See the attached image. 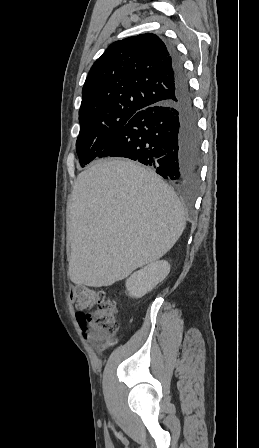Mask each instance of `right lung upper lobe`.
Returning <instances> with one entry per match:
<instances>
[{
	"instance_id": "cb5924a9",
	"label": "right lung upper lobe",
	"mask_w": 259,
	"mask_h": 448,
	"mask_svg": "<svg viewBox=\"0 0 259 448\" xmlns=\"http://www.w3.org/2000/svg\"><path fill=\"white\" fill-rule=\"evenodd\" d=\"M175 76L170 53L155 34L112 43L93 64L82 90L79 115L144 110L171 99Z\"/></svg>"
}]
</instances>
